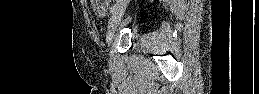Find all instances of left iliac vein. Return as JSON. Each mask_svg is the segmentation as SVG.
Masks as SVG:
<instances>
[{
	"label": "left iliac vein",
	"instance_id": "left-iliac-vein-1",
	"mask_svg": "<svg viewBox=\"0 0 259 94\" xmlns=\"http://www.w3.org/2000/svg\"><path fill=\"white\" fill-rule=\"evenodd\" d=\"M125 8H126V3L122 4L112 14V16H111V18L109 20V29H108L107 38H106V45H107V47H109L111 42H112V38H113L114 32L116 30L117 25L121 21V18H122L123 14H124Z\"/></svg>",
	"mask_w": 259,
	"mask_h": 94
}]
</instances>
